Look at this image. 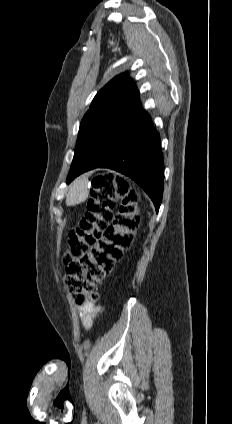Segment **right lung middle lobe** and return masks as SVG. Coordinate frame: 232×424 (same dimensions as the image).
Wrapping results in <instances>:
<instances>
[{
	"label": "right lung middle lobe",
	"mask_w": 232,
	"mask_h": 424,
	"mask_svg": "<svg viewBox=\"0 0 232 424\" xmlns=\"http://www.w3.org/2000/svg\"><path fill=\"white\" fill-rule=\"evenodd\" d=\"M133 110V108L113 106L95 108L86 112L80 123L68 178L79 174L85 162L111 132L132 120Z\"/></svg>",
	"instance_id": "right-lung-middle-lobe-1"
}]
</instances>
